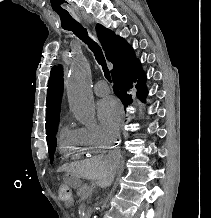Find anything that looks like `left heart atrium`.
Wrapping results in <instances>:
<instances>
[{"label":"left heart atrium","mask_w":211,"mask_h":218,"mask_svg":"<svg viewBox=\"0 0 211 218\" xmlns=\"http://www.w3.org/2000/svg\"><path fill=\"white\" fill-rule=\"evenodd\" d=\"M98 115L104 125L112 134H114L121 123L122 110L116 99L108 97L98 104Z\"/></svg>","instance_id":"obj_1"}]
</instances>
